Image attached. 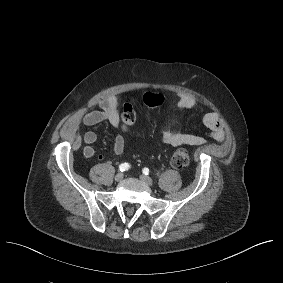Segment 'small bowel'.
<instances>
[{
    "label": "small bowel",
    "mask_w": 283,
    "mask_h": 283,
    "mask_svg": "<svg viewBox=\"0 0 283 283\" xmlns=\"http://www.w3.org/2000/svg\"><path fill=\"white\" fill-rule=\"evenodd\" d=\"M177 107L180 110H190L196 105L194 97L184 94H177ZM99 109L84 113L82 116L72 118L65 127L69 136L75 137L80 124L87 126L97 125L102 122H109L116 130L113 142V153L120 155L124 151L125 139L122 134L120 116L118 113V103L115 97L102 98L99 102ZM203 124L209 130L208 134L217 142H222L225 138V122L218 112H208L203 116ZM97 140V135L93 131H87L81 139H77V145L84 143L83 154L86 158L95 155L93 147ZM163 143L171 146L190 145L198 146L206 142L202 136L182 132L180 130H166L161 134ZM102 159V156H99Z\"/></svg>",
    "instance_id": "c3829d8e"
}]
</instances>
